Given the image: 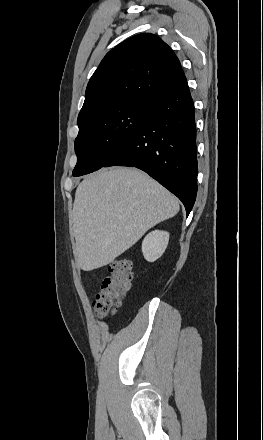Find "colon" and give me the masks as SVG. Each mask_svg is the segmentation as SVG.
<instances>
[{"instance_id":"colon-1","label":"colon","mask_w":263,"mask_h":440,"mask_svg":"<svg viewBox=\"0 0 263 440\" xmlns=\"http://www.w3.org/2000/svg\"><path fill=\"white\" fill-rule=\"evenodd\" d=\"M131 267V261L127 258H119L110 263L108 275L104 277L101 291L93 302L97 316L106 317L118 309L121 300L131 287Z\"/></svg>"}]
</instances>
